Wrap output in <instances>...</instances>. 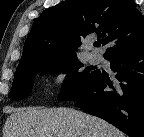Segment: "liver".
<instances>
[{"label":"liver","instance_id":"liver-1","mask_svg":"<svg viewBox=\"0 0 144 137\" xmlns=\"http://www.w3.org/2000/svg\"><path fill=\"white\" fill-rule=\"evenodd\" d=\"M3 137H125L106 121L71 108H17L8 117Z\"/></svg>","mask_w":144,"mask_h":137}]
</instances>
